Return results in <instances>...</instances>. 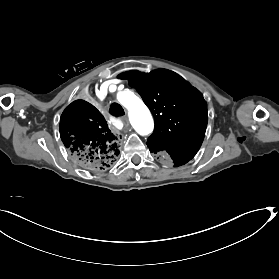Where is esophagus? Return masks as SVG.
I'll list each match as a JSON object with an SVG mask.
<instances>
[{"instance_id":"34e87169","label":"esophagus","mask_w":279,"mask_h":279,"mask_svg":"<svg viewBox=\"0 0 279 279\" xmlns=\"http://www.w3.org/2000/svg\"><path fill=\"white\" fill-rule=\"evenodd\" d=\"M119 119L121 120V122L124 124L125 127H128L130 125L127 117L121 116V117H119Z\"/></svg>"}]
</instances>
